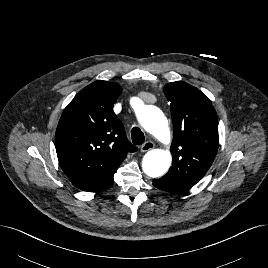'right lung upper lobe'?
<instances>
[{
	"label": "right lung upper lobe",
	"instance_id": "cb5924a9",
	"mask_svg": "<svg viewBox=\"0 0 268 268\" xmlns=\"http://www.w3.org/2000/svg\"><path fill=\"white\" fill-rule=\"evenodd\" d=\"M121 92L117 83L95 81L74 97L59 121L55 135L59 163L71 183L83 191L110 188L126 153L137 151L113 111Z\"/></svg>",
	"mask_w": 268,
	"mask_h": 268
}]
</instances>
